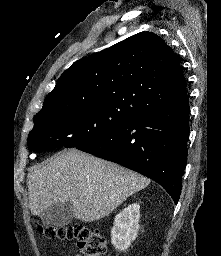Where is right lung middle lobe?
Segmentation results:
<instances>
[{
	"mask_svg": "<svg viewBox=\"0 0 221 256\" xmlns=\"http://www.w3.org/2000/svg\"><path fill=\"white\" fill-rule=\"evenodd\" d=\"M136 116L125 107L107 104L82 105L35 115L27 145L31 150L78 147Z\"/></svg>",
	"mask_w": 221,
	"mask_h": 256,
	"instance_id": "right-lung-middle-lobe-1",
	"label": "right lung middle lobe"
}]
</instances>
